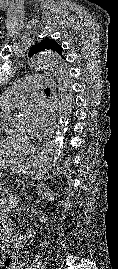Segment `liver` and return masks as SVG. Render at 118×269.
<instances>
[{
  "instance_id": "6515ba94",
  "label": "liver",
  "mask_w": 118,
  "mask_h": 269,
  "mask_svg": "<svg viewBox=\"0 0 118 269\" xmlns=\"http://www.w3.org/2000/svg\"><path fill=\"white\" fill-rule=\"evenodd\" d=\"M22 161H16V160H0V169H6L8 167H12L13 165L22 164ZM29 164V163H25Z\"/></svg>"
}]
</instances>
